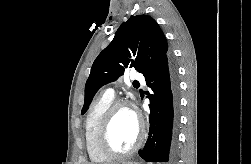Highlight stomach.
I'll use <instances>...</instances> for the list:
<instances>
[{"instance_id":"1","label":"stomach","mask_w":251,"mask_h":164,"mask_svg":"<svg viewBox=\"0 0 251 164\" xmlns=\"http://www.w3.org/2000/svg\"><path fill=\"white\" fill-rule=\"evenodd\" d=\"M122 164H139L137 162H123Z\"/></svg>"}]
</instances>
